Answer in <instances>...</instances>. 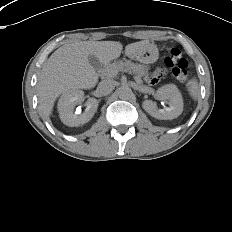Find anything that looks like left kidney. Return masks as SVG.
<instances>
[{
	"label": "left kidney",
	"mask_w": 232,
	"mask_h": 232,
	"mask_svg": "<svg viewBox=\"0 0 232 232\" xmlns=\"http://www.w3.org/2000/svg\"><path fill=\"white\" fill-rule=\"evenodd\" d=\"M155 95L158 99H167L169 107L158 109L156 103L153 101H145L143 102V108L150 116L159 120H172L181 115L183 111V99L176 85H164L156 91Z\"/></svg>",
	"instance_id": "5707ae66"
}]
</instances>
